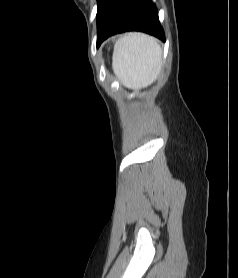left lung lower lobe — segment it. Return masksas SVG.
<instances>
[{
  "instance_id": "obj_1",
  "label": "left lung lower lobe",
  "mask_w": 238,
  "mask_h": 278,
  "mask_svg": "<svg viewBox=\"0 0 238 278\" xmlns=\"http://www.w3.org/2000/svg\"><path fill=\"white\" fill-rule=\"evenodd\" d=\"M97 46L116 33L141 31L165 41L152 0H97Z\"/></svg>"
}]
</instances>
